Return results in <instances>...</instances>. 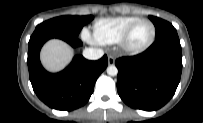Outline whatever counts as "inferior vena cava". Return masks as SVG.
<instances>
[{"label":"inferior vena cava","mask_w":203,"mask_h":123,"mask_svg":"<svg viewBox=\"0 0 203 123\" xmlns=\"http://www.w3.org/2000/svg\"><path fill=\"white\" fill-rule=\"evenodd\" d=\"M104 55V51L99 48H85L83 56L88 60H98Z\"/></svg>","instance_id":"602c4592"}]
</instances>
